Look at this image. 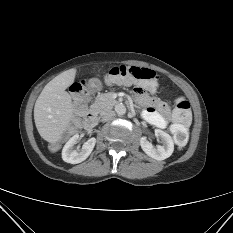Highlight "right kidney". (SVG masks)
<instances>
[{
    "label": "right kidney",
    "instance_id": "obj_1",
    "mask_svg": "<svg viewBox=\"0 0 233 233\" xmlns=\"http://www.w3.org/2000/svg\"><path fill=\"white\" fill-rule=\"evenodd\" d=\"M79 135L75 134L73 137H71L67 143L64 145L62 150V159L71 164H77L80 163L88 158V156L91 154L96 139L90 138L88 141H86L81 150H75L74 145L78 142Z\"/></svg>",
    "mask_w": 233,
    "mask_h": 233
}]
</instances>
